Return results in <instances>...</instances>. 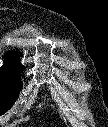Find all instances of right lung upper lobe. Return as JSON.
Segmentation results:
<instances>
[{"instance_id":"cb5924a9","label":"right lung upper lobe","mask_w":108,"mask_h":127,"mask_svg":"<svg viewBox=\"0 0 108 127\" xmlns=\"http://www.w3.org/2000/svg\"><path fill=\"white\" fill-rule=\"evenodd\" d=\"M4 58H5L4 65H9V64L21 65L18 54L15 52H6Z\"/></svg>"}]
</instances>
